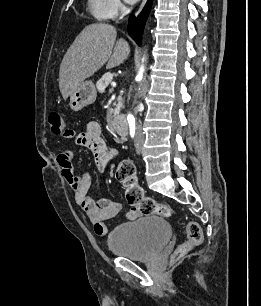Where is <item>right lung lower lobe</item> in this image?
Masks as SVG:
<instances>
[{
    "instance_id": "1",
    "label": "right lung lower lobe",
    "mask_w": 261,
    "mask_h": 306,
    "mask_svg": "<svg viewBox=\"0 0 261 306\" xmlns=\"http://www.w3.org/2000/svg\"><path fill=\"white\" fill-rule=\"evenodd\" d=\"M151 5H152V0H148L143 11L140 13V15L137 18L134 15H132L129 18L128 34L138 45H141L142 33Z\"/></svg>"
}]
</instances>
